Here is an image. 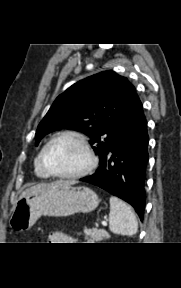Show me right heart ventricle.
I'll return each mask as SVG.
<instances>
[{"mask_svg":"<svg viewBox=\"0 0 181 288\" xmlns=\"http://www.w3.org/2000/svg\"><path fill=\"white\" fill-rule=\"evenodd\" d=\"M34 173L37 177L42 179H48L51 176L44 170V168L41 165L40 162V153L37 154V156L34 159L33 163Z\"/></svg>","mask_w":181,"mask_h":288,"instance_id":"right-heart-ventricle-1","label":"right heart ventricle"}]
</instances>
